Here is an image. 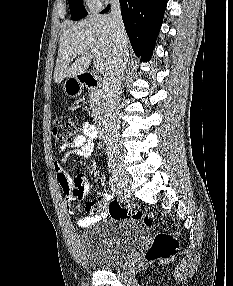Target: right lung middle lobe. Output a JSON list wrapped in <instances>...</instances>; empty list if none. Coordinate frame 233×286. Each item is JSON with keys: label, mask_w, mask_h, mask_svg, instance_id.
<instances>
[{"label": "right lung middle lobe", "mask_w": 233, "mask_h": 286, "mask_svg": "<svg viewBox=\"0 0 233 286\" xmlns=\"http://www.w3.org/2000/svg\"><path fill=\"white\" fill-rule=\"evenodd\" d=\"M71 18L73 20H79L87 16V11L82 3V0H68Z\"/></svg>", "instance_id": "dd1d6c3e"}]
</instances>
